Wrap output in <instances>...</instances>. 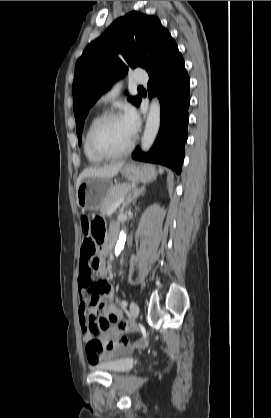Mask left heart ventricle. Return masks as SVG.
<instances>
[{
  "label": "left heart ventricle",
  "instance_id": "1",
  "mask_svg": "<svg viewBox=\"0 0 271 418\" xmlns=\"http://www.w3.org/2000/svg\"><path fill=\"white\" fill-rule=\"evenodd\" d=\"M132 136L126 129L122 118L105 122L96 133V144L106 152H119L130 143Z\"/></svg>",
  "mask_w": 271,
  "mask_h": 418
}]
</instances>
